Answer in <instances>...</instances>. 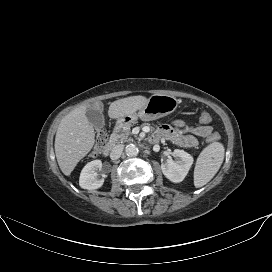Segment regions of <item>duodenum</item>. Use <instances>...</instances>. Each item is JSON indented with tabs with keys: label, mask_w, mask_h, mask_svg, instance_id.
I'll return each instance as SVG.
<instances>
[{
	"label": "duodenum",
	"mask_w": 272,
	"mask_h": 272,
	"mask_svg": "<svg viewBox=\"0 0 272 272\" xmlns=\"http://www.w3.org/2000/svg\"><path fill=\"white\" fill-rule=\"evenodd\" d=\"M123 125L122 121H118L115 125V131H118ZM115 144V137H111L110 140L108 141V143L105 145L104 149H103V154L104 155H109V153L111 152L113 146Z\"/></svg>",
	"instance_id": "1"
}]
</instances>
